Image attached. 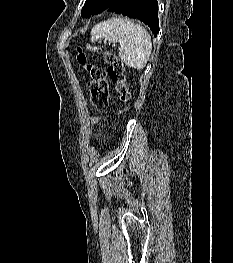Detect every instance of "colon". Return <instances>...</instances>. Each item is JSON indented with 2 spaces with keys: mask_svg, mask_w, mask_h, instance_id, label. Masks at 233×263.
I'll use <instances>...</instances> for the list:
<instances>
[{
  "mask_svg": "<svg viewBox=\"0 0 233 263\" xmlns=\"http://www.w3.org/2000/svg\"><path fill=\"white\" fill-rule=\"evenodd\" d=\"M107 69L88 63L85 53L78 49L77 60L88 72L89 99L93 111L103 112L109 105L107 78L115 83V89L121 102L127 103L130 100V91L127 86L123 63L110 51L102 52Z\"/></svg>",
  "mask_w": 233,
  "mask_h": 263,
  "instance_id": "colon-1",
  "label": "colon"
}]
</instances>
